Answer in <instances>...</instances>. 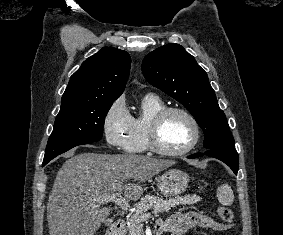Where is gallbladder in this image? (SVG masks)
<instances>
[{"label": "gallbladder", "mask_w": 283, "mask_h": 235, "mask_svg": "<svg viewBox=\"0 0 283 235\" xmlns=\"http://www.w3.org/2000/svg\"><path fill=\"white\" fill-rule=\"evenodd\" d=\"M107 225H109L110 224V220L108 219V220H106V222H105Z\"/></svg>", "instance_id": "1"}]
</instances>
